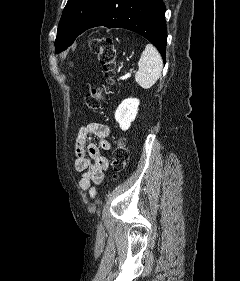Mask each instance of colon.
Segmentation results:
<instances>
[{"label": "colon", "mask_w": 240, "mask_h": 281, "mask_svg": "<svg viewBox=\"0 0 240 281\" xmlns=\"http://www.w3.org/2000/svg\"><path fill=\"white\" fill-rule=\"evenodd\" d=\"M91 50L97 55L103 68L106 84L112 85L116 76V48L114 41L109 37L94 38L90 42ZM106 87L92 88L85 97L86 105L91 110L101 107ZM129 158V150L124 139L116 141L112 157V169L114 175L119 174L125 167Z\"/></svg>", "instance_id": "colon-1"}]
</instances>
